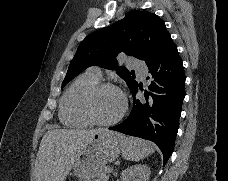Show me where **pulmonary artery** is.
<instances>
[{
	"instance_id": "obj_1",
	"label": "pulmonary artery",
	"mask_w": 228,
	"mask_h": 181,
	"mask_svg": "<svg viewBox=\"0 0 228 181\" xmlns=\"http://www.w3.org/2000/svg\"><path fill=\"white\" fill-rule=\"evenodd\" d=\"M127 62H136V57H127ZM96 68V67H95ZM136 71H147V66H136ZM89 75H95V70H89ZM95 76H98L97 74Z\"/></svg>"
}]
</instances>
